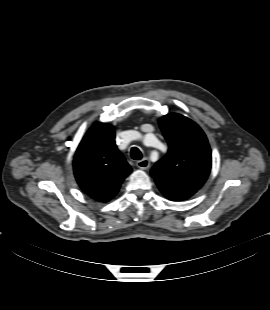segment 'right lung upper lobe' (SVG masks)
Masks as SVG:
<instances>
[{"instance_id":"right-lung-upper-lobe-1","label":"right lung upper lobe","mask_w":270,"mask_h":310,"mask_svg":"<svg viewBox=\"0 0 270 310\" xmlns=\"http://www.w3.org/2000/svg\"><path fill=\"white\" fill-rule=\"evenodd\" d=\"M73 168L80 188L99 202H108L132 172L115 144L114 127L94 124L78 146Z\"/></svg>"}]
</instances>
